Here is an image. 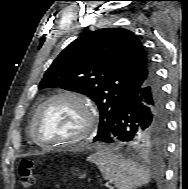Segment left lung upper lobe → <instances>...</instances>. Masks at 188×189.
<instances>
[{"instance_id":"5c2ea615","label":"left lung upper lobe","mask_w":188,"mask_h":189,"mask_svg":"<svg viewBox=\"0 0 188 189\" xmlns=\"http://www.w3.org/2000/svg\"><path fill=\"white\" fill-rule=\"evenodd\" d=\"M153 72L150 57L133 32L105 28L67 46L46 71L39 88L61 87L94 100L100 111L96 140L113 126L133 90ZM164 134L145 131L132 146L160 150Z\"/></svg>"}]
</instances>
